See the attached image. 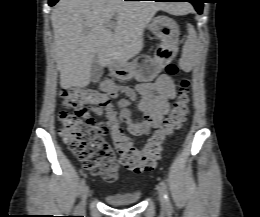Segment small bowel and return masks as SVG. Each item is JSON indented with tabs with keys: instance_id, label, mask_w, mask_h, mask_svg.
<instances>
[{
	"instance_id": "obj_1",
	"label": "small bowel",
	"mask_w": 260,
	"mask_h": 217,
	"mask_svg": "<svg viewBox=\"0 0 260 217\" xmlns=\"http://www.w3.org/2000/svg\"><path fill=\"white\" fill-rule=\"evenodd\" d=\"M99 89L114 98L125 95L117 103L118 120L131 135H148L157 129L176 95L175 83L166 74L160 75L154 82L141 83L134 88L105 80L100 83ZM136 99L139 112L137 118L131 108ZM94 113L100 115L102 111L95 109Z\"/></svg>"
}]
</instances>
